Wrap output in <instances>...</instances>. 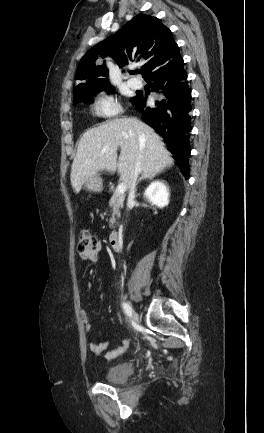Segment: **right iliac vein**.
<instances>
[{
	"label": "right iliac vein",
	"mask_w": 264,
	"mask_h": 433,
	"mask_svg": "<svg viewBox=\"0 0 264 433\" xmlns=\"http://www.w3.org/2000/svg\"><path fill=\"white\" fill-rule=\"evenodd\" d=\"M129 306H130L131 311H132V319H133L134 321H137V320H138V315H137V313L135 312V310L132 308L131 305H129Z\"/></svg>",
	"instance_id": "obj_1"
}]
</instances>
